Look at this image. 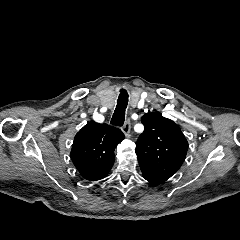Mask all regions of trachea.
<instances>
[{
  "label": "trachea",
  "mask_w": 240,
  "mask_h": 240,
  "mask_svg": "<svg viewBox=\"0 0 240 240\" xmlns=\"http://www.w3.org/2000/svg\"><path fill=\"white\" fill-rule=\"evenodd\" d=\"M128 104V93L121 89L117 100V107L111 119V124L115 126H122L125 121V109Z\"/></svg>",
  "instance_id": "obj_1"
}]
</instances>
